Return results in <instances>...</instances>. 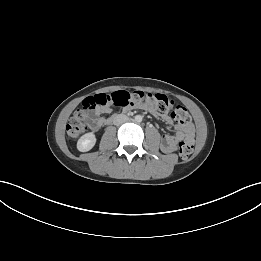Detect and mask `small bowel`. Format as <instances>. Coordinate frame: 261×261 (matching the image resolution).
<instances>
[{"label":"small bowel","mask_w":261,"mask_h":261,"mask_svg":"<svg viewBox=\"0 0 261 261\" xmlns=\"http://www.w3.org/2000/svg\"><path fill=\"white\" fill-rule=\"evenodd\" d=\"M151 111L157 117H160L165 123L171 124L172 119L167 114H159L152 108L142 107ZM110 108L96 111L89 119L90 128L93 131L98 130L106 124L107 119L102 115L103 112H110ZM194 128L192 125H182L177 127V132L174 135H162L160 139V147L164 153H172L176 150L177 145L183 140L193 141Z\"/></svg>","instance_id":"obj_1"}]
</instances>
